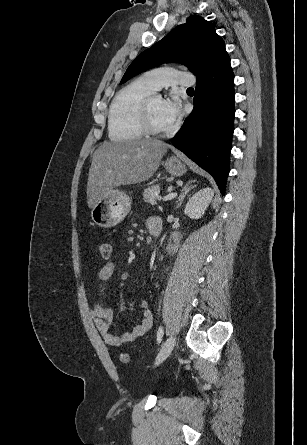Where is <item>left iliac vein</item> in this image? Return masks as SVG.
Returning <instances> with one entry per match:
<instances>
[{
  "label": "left iliac vein",
  "mask_w": 307,
  "mask_h": 445,
  "mask_svg": "<svg viewBox=\"0 0 307 445\" xmlns=\"http://www.w3.org/2000/svg\"><path fill=\"white\" fill-rule=\"evenodd\" d=\"M175 343H176V338L174 336H170L166 340V342L163 344L162 348L160 349L156 357L155 365L160 364L170 355L175 346Z\"/></svg>",
  "instance_id": "left-iliac-vein-1"
}]
</instances>
